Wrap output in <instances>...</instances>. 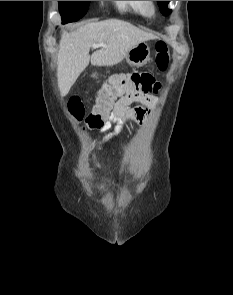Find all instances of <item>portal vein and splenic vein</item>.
<instances>
[{
    "label": "portal vein and splenic vein",
    "mask_w": 233,
    "mask_h": 295,
    "mask_svg": "<svg viewBox=\"0 0 233 295\" xmlns=\"http://www.w3.org/2000/svg\"><path fill=\"white\" fill-rule=\"evenodd\" d=\"M101 46H104V45H102V44H93L92 45L93 48H98V47H101Z\"/></svg>",
    "instance_id": "obj_1"
}]
</instances>
